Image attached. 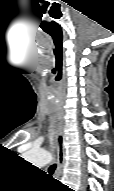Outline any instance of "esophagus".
Returning a JSON list of instances; mask_svg holds the SVG:
<instances>
[{
    "label": "esophagus",
    "instance_id": "1",
    "mask_svg": "<svg viewBox=\"0 0 114 191\" xmlns=\"http://www.w3.org/2000/svg\"><path fill=\"white\" fill-rule=\"evenodd\" d=\"M56 149H57V168L55 171L56 177L59 178L64 165L65 148H64V132L61 122L57 126L56 134Z\"/></svg>",
    "mask_w": 114,
    "mask_h": 191
}]
</instances>
